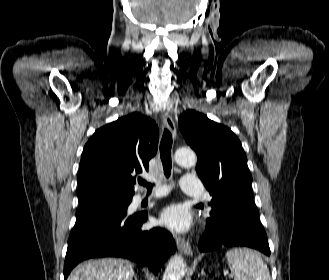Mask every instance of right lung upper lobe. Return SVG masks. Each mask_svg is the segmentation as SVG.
I'll return each mask as SVG.
<instances>
[{
  "label": "right lung upper lobe",
  "instance_id": "right-lung-upper-lobe-1",
  "mask_svg": "<svg viewBox=\"0 0 329 280\" xmlns=\"http://www.w3.org/2000/svg\"><path fill=\"white\" fill-rule=\"evenodd\" d=\"M158 141L156 123L137 112L96 130L81 156L79 200L132 197L136 182L134 174L148 171Z\"/></svg>",
  "mask_w": 329,
  "mask_h": 280
}]
</instances>
